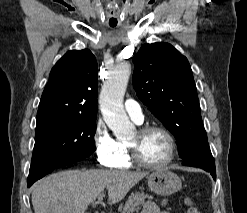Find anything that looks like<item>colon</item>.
Here are the masks:
<instances>
[{
    "label": "colon",
    "mask_w": 247,
    "mask_h": 213,
    "mask_svg": "<svg viewBox=\"0 0 247 213\" xmlns=\"http://www.w3.org/2000/svg\"><path fill=\"white\" fill-rule=\"evenodd\" d=\"M187 205H188L187 213H199L198 209L193 205L191 200L189 199L187 200Z\"/></svg>",
    "instance_id": "5ec220e1"
}]
</instances>
